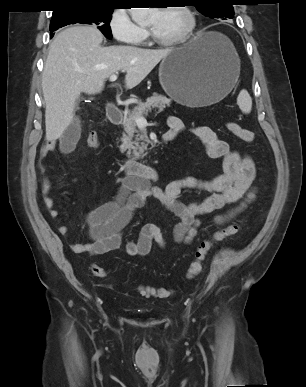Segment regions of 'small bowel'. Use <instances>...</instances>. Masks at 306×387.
I'll list each match as a JSON object with an SVG mask.
<instances>
[{"mask_svg": "<svg viewBox=\"0 0 306 387\" xmlns=\"http://www.w3.org/2000/svg\"><path fill=\"white\" fill-rule=\"evenodd\" d=\"M169 130L166 134L174 138L184 131V123L176 116L167 119ZM191 132L202 142L207 155L212 159H222V173L201 179L186 176L167 183L164 187L152 186L147 180L126 178L122 181L114 200L104 203L85 216L90 241L71 245L77 254L101 255L119 249L122 246L123 231L134 214L145 204L148 198L158 200L162 206L178 218L173 229V238L177 243H190L197 235L201 224L200 217L213 213L232 204H238L226 214L218 215L216 222L225 224L255 198L254 182L256 167L248 155L232 150L225 140L218 137L207 126H196ZM79 124L72 122L59 140L62 154H70L79 139ZM56 149V143L46 141L40 156L45 157ZM186 191L207 193L200 202H184L181 195ZM43 200L52 218L58 219L51 196V182L48 178L42 184ZM58 231L65 235L68 228L58 224ZM166 247L161 229L152 223L145 224L135 240L126 242L124 251L131 257L147 256L153 247Z\"/></svg>", "mask_w": 306, "mask_h": 387, "instance_id": "small-bowel-1", "label": "small bowel"}]
</instances>
